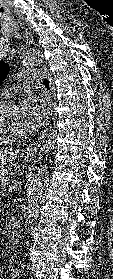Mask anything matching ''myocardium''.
I'll return each mask as SVG.
<instances>
[{
	"label": "myocardium",
	"mask_w": 113,
	"mask_h": 279,
	"mask_svg": "<svg viewBox=\"0 0 113 279\" xmlns=\"http://www.w3.org/2000/svg\"><path fill=\"white\" fill-rule=\"evenodd\" d=\"M18 108V104L12 100L0 101V118L2 114L10 109ZM25 137V134L11 135L7 134L0 126V142L1 143H13L19 141Z\"/></svg>",
	"instance_id": "myocardium-1"
}]
</instances>
